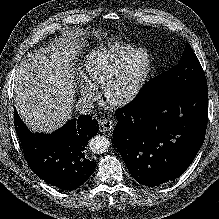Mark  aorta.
<instances>
[{"mask_svg": "<svg viewBox=\"0 0 219 219\" xmlns=\"http://www.w3.org/2000/svg\"><path fill=\"white\" fill-rule=\"evenodd\" d=\"M110 141L105 136H94L89 141V148L93 153L102 154L108 150Z\"/></svg>", "mask_w": 219, "mask_h": 219, "instance_id": "obj_1", "label": "aorta"}]
</instances>
